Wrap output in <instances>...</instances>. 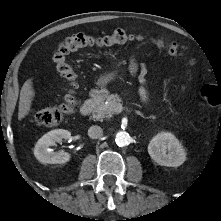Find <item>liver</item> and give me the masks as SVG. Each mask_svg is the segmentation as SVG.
<instances>
[{
    "instance_id": "1",
    "label": "liver",
    "mask_w": 221,
    "mask_h": 221,
    "mask_svg": "<svg viewBox=\"0 0 221 221\" xmlns=\"http://www.w3.org/2000/svg\"><path fill=\"white\" fill-rule=\"evenodd\" d=\"M35 96L34 89L32 87V80L28 79L22 86L20 91V101H19V110H18V119H23L28 115L33 98Z\"/></svg>"
}]
</instances>
